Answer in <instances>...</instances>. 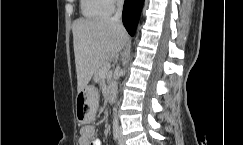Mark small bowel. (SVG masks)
Instances as JSON below:
<instances>
[{
  "mask_svg": "<svg viewBox=\"0 0 243 145\" xmlns=\"http://www.w3.org/2000/svg\"><path fill=\"white\" fill-rule=\"evenodd\" d=\"M79 145H102L101 141L95 135V129L92 126H84L80 131L78 139Z\"/></svg>",
  "mask_w": 243,
  "mask_h": 145,
  "instance_id": "1",
  "label": "small bowel"
}]
</instances>
